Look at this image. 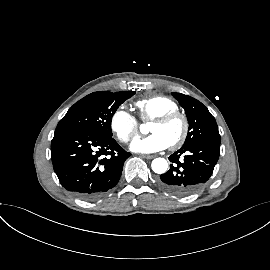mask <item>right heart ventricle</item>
<instances>
[{
  "label": "right heart ventricle",
  "mask_w": 270,
  "mask_h": 270,
  "mask_svg": "<svg viewBox=\"0 0 270 270\" xmlns=\"http://www.w3.org/2000/svg\"><path fill=\"white\" fill-rule=\"evenodd\" d=\"M142 120H153L167 112L178 111L179 107L171 98L156 95L140 99L135 103Z\"/></svg>",
  "instance_id": "e07e8e85"
}]
</instances>
